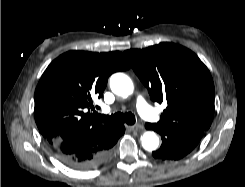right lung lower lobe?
<instances>
[{
	"instance_id": "right-lung-lower-lobe-1",
	"label": "right lung lower lobe",
	"mask_w": 245,
	"mask_h": 187,
	"mask_svg": "<svg viewBox=\"0 0 245 187\" xmlns=\"http://www.w3.org/2000/svg\"><path fill=\"white\" fill-rule=\"evenodd\" d=\"M124 132V126L115 125L88 130L59 142L52 149L57 158L70 168L95 169L109 159L112 147Z\"/></svg>"
}]
</instances>
